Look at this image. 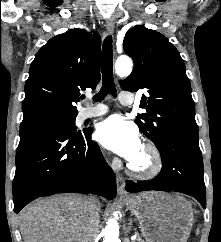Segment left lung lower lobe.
I'll list each match as a JSON object with an SVG mask.
<instances>
[{
	"label": "left lung lower lobe",
	"mask_w": 221,
	"mask_h": 242,
	"mask_svg": "<svg viewBox=\"0 0 221 242\" xmlns=\"http://www.w3.org/2000/svg\"><path fill=\"white\" fill-rule=\"evenodd\" d=\"M162 170L149 181L126 182L128 192L148 190L176 191L191 195L206 207V189L203 178V160L198 140L171 137L158 149Z\"/></svg>",
	"instance_id": "obj_1"
}]
</instances>
